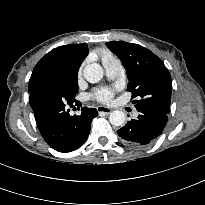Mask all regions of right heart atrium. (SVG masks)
Listing matches in <instances>:
<instances>
[{
    "label": "right heart atrium",
    "mask_w": 205,
    "mask_h": 205,
    "mask_svg": "<svg viewBox=\"0 0 205 205\" xmlns=\"http://www.w3.org/2000/svg\"><path fill=\"white\" fill-rule=\"evenodd\" d=\"M84 63H82V65L79 68V74H81L82 68H83Z\"/></svg>",
    "instance_id": "d8ad5b80"
}]
</instances>
